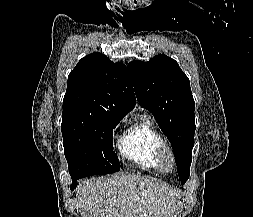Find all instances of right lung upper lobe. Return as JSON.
<instances>
[{
	"label": "right lung upper lobe",
	"instance_id": "1",
	"mask_svg": "<svg viewBox=\"0 0 253 217\" xmlns=\"http://www.w3.org/2000/svg\"><path fill=\"white\" fill-rule=\"evenodd\" d=\"M135 103L127 67L94 52L83 57L69 74L63 112L81 111L122 119Z\"/></svg>",
	"mask_w": 253,
	"mask_h": 217
}]
</instances>
